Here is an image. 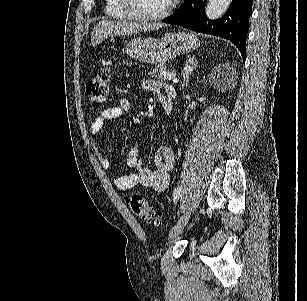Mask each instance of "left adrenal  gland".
I'll return each mask as SVG.
<instances>
[{
    "label": "left adrenal gland",
    "instance_id": "a2214340",
    "mask_svg": "<svg viewBox=\"0 0 307 301\" xmlns=\"http://www.w3.org/2000/svg\"><path fill=\"white\" fill-rule=\"evenodd\" d=\"M198 62L196 60V58H188L183 70H182V74H183V86H187L188 82H189V76L192 72V70H194V68H196Z\"/></svg>",
    "mask_w": 307,
    "mask_h": 301
}]
</instances>
